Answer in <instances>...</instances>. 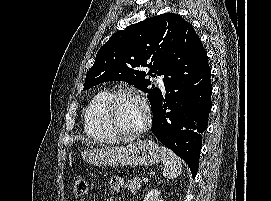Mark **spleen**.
Masks as SVG:
<instances>
[{"label":"spleen","instance_id":"spleen-1","mask_svg":"<svg viewBox=\"0 0 271 201\" xmlns=\"http://www.w3.org/2000/svg\"><path fill=\"white\" fill-rule=\"evenodd\" d=\"M162 162L164 165L163 176L169 179L177 178L182 173V164L180 159L164 146L160 147Z\"/></svg>","mask_w":271,"mask_h":201}]
</instances>
